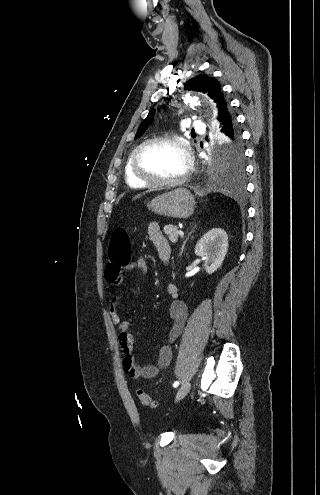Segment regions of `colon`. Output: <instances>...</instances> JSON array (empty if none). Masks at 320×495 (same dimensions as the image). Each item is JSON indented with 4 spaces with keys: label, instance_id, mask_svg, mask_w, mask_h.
I'll use <instances>...</instances> for the list:
<instances>
[{
    "label": "colon",
    "instance_id": "colon-1",
    "mask_svg": "<svg viewBox=\"0 0 320 495\" xmlns=\"http://www.w3.org/2000/svg\"><path fill=\"white\" fill-rule=\"evenodd\" d=\"M107 275L118 276L125 269L131 260V239L125 228L117 227L113 230L108 247ZM137 397L142 405L157 408L158 403L151 398L144 390L137 391Z\"/></svg>",
    "mask_w": 320,
    "mask_h": 495
}]
</instances>
